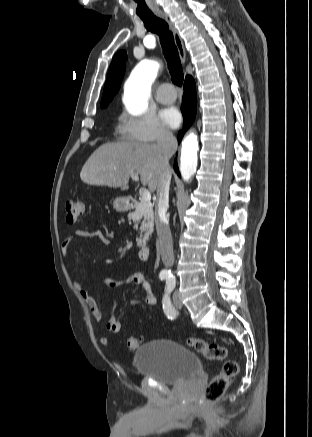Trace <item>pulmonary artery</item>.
<instances>
[{"label": "pulmonary artery", "mask_w": 312, "mask_h": 437, "mask_svg": "<svg viewBox=\"0 0 312 437\" xmlns=\"http://www.w3.org/2000/svg\"><path fill=\"white\" fill-rule=\"evenodd\" d=\"M156 100L163 104L173 103L176 99V93L170 84H162L156 92Z\"/></svg>", "instance_id": "e3ab8cb5"}]
</instances>
